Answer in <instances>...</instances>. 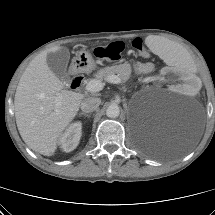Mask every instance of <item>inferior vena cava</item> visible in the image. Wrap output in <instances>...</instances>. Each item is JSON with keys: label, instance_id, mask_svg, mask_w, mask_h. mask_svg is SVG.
<instances>
[{"label": "inferior vena cava", "instance_id": "obj_1", "mask_svg": "<svg viewBox=\"0 0 215 215\" xmlns=\"http://www.w3.org/2000/svg\"><path fill=\"white\" fill-rule=\"evenodd\" d=\"M100 103V98L88 97L81 102L80 108L84 113H90L95 111L99 107Z\"/></svg>", "mask_w": 215, "mask_h": 215}]
</instances>
